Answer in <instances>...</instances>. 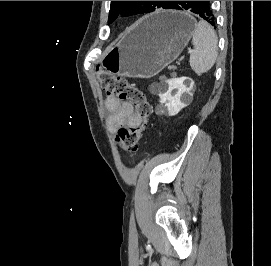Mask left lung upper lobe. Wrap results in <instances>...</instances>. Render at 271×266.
<instances>
[{"mask_svg": "<svg viewBox=\"0 0 271 266\" xmlns=\"http://www.w3.org/2000/svg\"><path fill=\"white\" fill-rule=\"evenodd\" d=\"M173 1H111L108 23L119 15L130 16L138 13L153 12L158 8L168 9Z\"/></svg>", "mask_w": 271, "mask_h": 266, "instance_id": "5c2ea615", "label": "left lung upper lobe"}]
</instances>
